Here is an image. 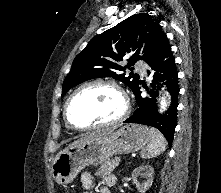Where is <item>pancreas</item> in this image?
I'll list each match as a JSON object with an SVG mask.
<instances>
[{
  "label": "pancreas",
  "instance_id": "obj_1",
  "mask_svg": "<svg viewBox=\"0 0 221 193\" xmlns=\"http://www.w3.org/2000/svg\"><path fill=\"white\" fill-rule=\"evenodd\" d=\"M117 162L116 159H109L101 164L100 168L97 170L95 175L97 176H106L111 174L115 169V163Z\"/></svg>",
  "mask_w": 221,
  "mask_h": 193
}]
</instances>
